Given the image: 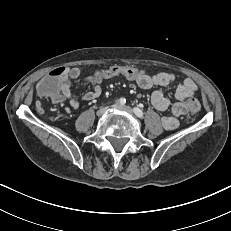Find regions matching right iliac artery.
Returning a JSON list of instances; mask_svg holds the SVG:
<instances>
[{"mask_svg": "<svg viewBox=\"0 0 231 231\" xmlns=\"http://www.w3.org/2000/svg\"><path fill=\"white\" fill-rule=\"evenodd\" d=\"M115 103L119 105H124L126 103V100L124 98H120L116 100Z\"/></svg>", "mask_w": 231, "mask_h": 231, "instance_id": "82829eb1", "label": "right iliac artery"}]
</instances>
